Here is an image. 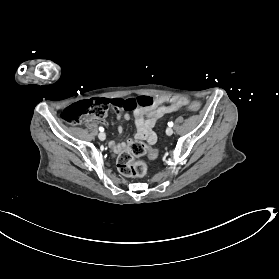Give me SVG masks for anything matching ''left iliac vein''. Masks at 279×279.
Returning a JSON list of instances; mask_svg holds the SVG:
<instances>
[{"label": "left iliac vein", "mask_w": 279, "mask_h": 279, "mask_svg": "<svg viewBox=\"0 0 279 279\" xmlns=\"http://www.w3.org/2000/svg\"><path fill=\"white\" fill-rule=\"evenodd\" d=\"M166 134L168 135V136H171L172 134H173V129L172 128H167L166 129Z\"/></svg>", "instance_id": "obj_1"}]
</instances>
